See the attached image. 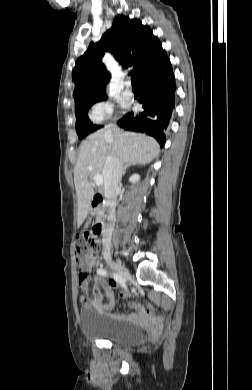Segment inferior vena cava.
<instances>
[{
    "instance_id": "602c4592",
    "label": "inferior vena cava",
    "mask_w": 252,
    "mask_h": 390,
    "mask_svg": "<svg viewBox=\"0 0 252 390\" xmlns=\"http://www.w3.org/2000/svg\"><path fill=\"white\" fill-rule=\"evenodd\" d=\"M111 130L108 131L110 133ZM123 162L109 154L106 158L102 175L104 178V196L106 206L111 214L115 212L116 198L119 192V184L123 173ZM112 229L106 228L103 233L102 243L105 252H110L111 249Z\"/></svg>"
}]
</instances>
